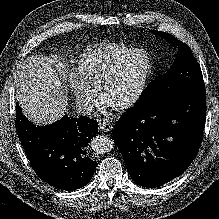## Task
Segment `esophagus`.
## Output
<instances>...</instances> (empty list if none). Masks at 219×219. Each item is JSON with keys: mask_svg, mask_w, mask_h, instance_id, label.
Here are the masks:
<instances>
[{"mask_svg": "<svg viewBox=\"0 0 219 219\" xmlns=\"http://www.w3.org/2000/svg\"><path fill=\"white\" fill-rule=\"evenodd\" d=\"M99 125L102 131L110 132L113 129V124L109 121H99Z\"/></svg>", "mask_w": 219, "mask_h": 219, "instance_id": "1", "label": "esophagus"}]
</instances>
